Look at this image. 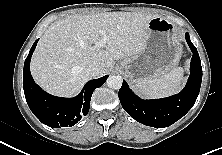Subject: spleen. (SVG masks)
Wrapping results in <instances>:
<instances>
[{
  "label": "spleen",
  "mask_w": 222,
  "mask_h": 155,
  "mask_svg": "<svg viewBox=\"0 0 222 155\" xmlns=\"http://www.w3.org/2000/svg\"><path fill=\"white\" fill-rule=\"evenodd\" d=\"M183 73L181 67L173 68L170 72L157 78L139 79L136 86L142 94L148 97L170 96L181 89Z\"/></svg>",
  "instance_id": "obj_1"
}]
</instances>
